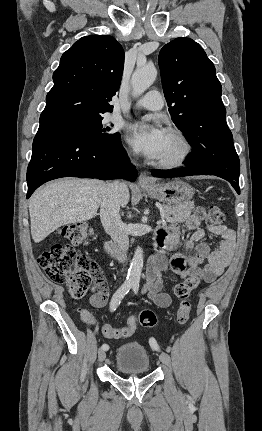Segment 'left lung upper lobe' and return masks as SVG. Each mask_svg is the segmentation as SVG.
I'll return each instance as SVG.
<instances>
[{
  "mask_svg": "<svg viewBox=\"0 0 262 431\" xmlns=\"http://www.w3.org/2000/svg\"><path fill=\"white\" fill-rule=\"evenodd\" d=\"M158 59L169 113L193 148L185 160L187 166L239 177V158L214 64L198 43L185 37L166 44ZM227 165H233L236 173Z\"/></svg>",
  "mask_w": 262,
  "mask_h": 431,
  "instance_id": "left-lung-upper-lobe-1",
  "label": "left lung upper lobe"
}]
</instances>
